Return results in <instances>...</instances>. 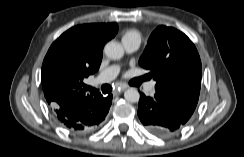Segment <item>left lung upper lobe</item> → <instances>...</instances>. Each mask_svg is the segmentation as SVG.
I'll use <instances>...</instances> for the list:
<instances>
[{"label": "left lung upper lobe", "mask_w": 244, "mask_h": 157, "mask_svg": "<svg viewBox=\"0 0 244 157\" xmlns=\"http://www.w3.org/2000/svg\"><path fill=\"white\" fill-rule=\"evenodd\" d=\"M139 64L150 70L155 91L189 119L198 102L202 67L196 47L181 31L159 26L148 39Z\"/></svg>", "instance_id": "1"}]
</instances>
